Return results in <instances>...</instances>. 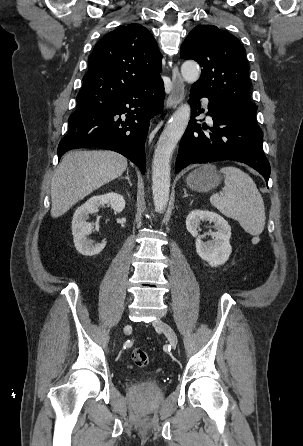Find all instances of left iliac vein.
Wrapping results in <instances>:
<instances>
[{
    "label": "left iliac vein",
    "mask_w": 303,
    "mask_h": 446,
    "mask_svg": "<svg viewBox=\"0 0 303 446\" xmlns=\"http://www.w3.org/2000/svg\"><path fill=\"white\" fill-rule=\"evenodd\" d=\"M153 326L167 337L172 346H176L178 344L177 335L170 325L162 320H155L153 322Z\"/></svg>",
    "instance_id": "left-iliac-vein-1"
}]
</instances>
